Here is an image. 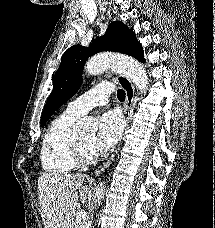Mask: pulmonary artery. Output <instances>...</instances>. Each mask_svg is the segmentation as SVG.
<instances>
[{
	"label": "pulmonary artery",
	"mask_w": 215,
	"mask_h": 228,
	"mask_svg": "<svg viewBox=\"0 0 215 228\" xmlns=\"http://www.w3.org/2000/svg\"><path fill=\"white\" fill-rule=\"evenodd\" d=\"M116 88V84H97V87L71 101L67 106V110L81 116L96 106L106 105L109 94Z\"/></svg>",
	"instance_id": "e3ab8cb5"
}]
</instances>
